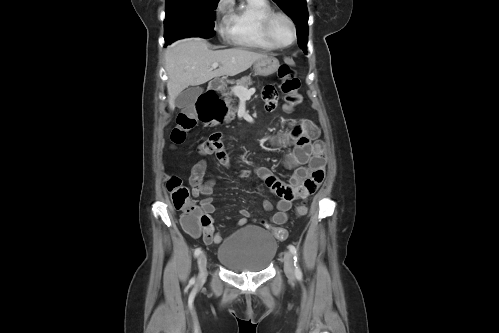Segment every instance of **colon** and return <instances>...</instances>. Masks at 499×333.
Segmentation results:
<instances>
[{
  "mask_svg": "<svg viewBox=\"0 0 499 333\" xmlns=\"http://www.w3.org/2000/svg\"><path fill=\"white\" fill-rule=\"evenodd\" d=\"M278 76L281 80L280 88L284 94V108L292 112L302 102L299 92L300 81L294 72L287 65L279 68ZM211 102L215 108L213 120L220 119L225 114V105L216 94L210 95ZM197 119L189 114L182 113L177 118V123L171 131V141L175 145L182 144L187 134L195 128ZM167 190L170 193L172 203L177 210L182 212L183 227L192 234L203 233L204 240H210L213 234L210 217L203 211L200 205L191 200L189 189L183 184L178 176H171L167 181ZM308 212L306 203L297 206V216H304ZM267 226V223L263 222ZM274 237L278 240L287 238V231L281 227H271Z\"/></svg>",
  "mask_w": 499,
  "mask_h": 333,
  "instance_id": "5ec220e1",
  "label": "colon"
}]
</instances>
